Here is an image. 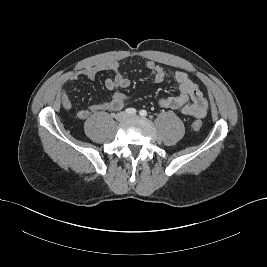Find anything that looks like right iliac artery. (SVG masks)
<instances>
[{
  "mask_svg": "<svg viewBox=\"0 0 267 267\" xmlns=\"http://www.w3.org/2000/svg\"><path fill=\"white\" fill-rule=\"evenodd\" d=\"M125 112H126L127 114H135L137 111H136V109H134V108H127V109L125 110Z\"/></svg>",
  "mask_w": 267,
  "mask_h": 267,
  "instance_id": "82829eb1",
  "label": "right iliac artery"
}]
</instances>
